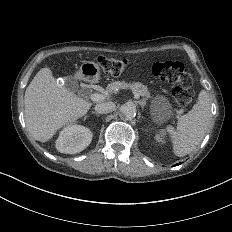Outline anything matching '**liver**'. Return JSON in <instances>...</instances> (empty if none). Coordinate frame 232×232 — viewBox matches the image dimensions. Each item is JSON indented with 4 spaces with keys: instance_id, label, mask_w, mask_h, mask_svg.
Here are the masks:
<instances>
[{
    "instance_id": "6515ba94",
    "label": "liver",
    "mask_w": 232,
    "mask_h": 232,
    "mask_svg": "<svg viewBox=\"0 0 232 232\" xmlns=\"http://www.w3.org/2000/svg\"><path fill=\"white\" fill-rule=\"evenodd\" d=\"M24 105L30 134L46 142L58 129L84 116L92 104L57 84L51 70L42 68L26 88Z\"/></svg>"
}]
</instances>
